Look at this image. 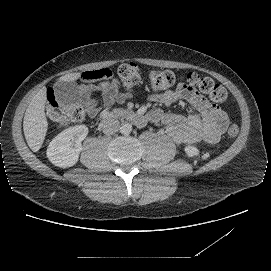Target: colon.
<instances>
[{
  "label": "colon",
  "instance_id": "1",
  "mask_svg": "<svg viewBox=\"0 0 271 271\" xmlns=\"http://www.w3.org/2000/svg\"><path fill=\"white\" fill-rule=\"evenodd\" d=\"M120 86L129 90L140 83L141 75L139 66L135 62L121 64L117 69ZM178 80H184L192 88L198 89L201 93L217 105L225 101L226 89L216 84L211 78L200 77L194 72L185 75H177L171 70L154 69L148 73V88L152 93H160L173 86ZM46 114L48 118L57 124H70L82 121L88 111L77 105L61 104L56 98L53 90L48 92ZM238 134V127L231 125L228 129L229 138L233 139Z\"/></svg>",
  "mask_w": 271,
  "mask_h": 271
}]
</instances>
